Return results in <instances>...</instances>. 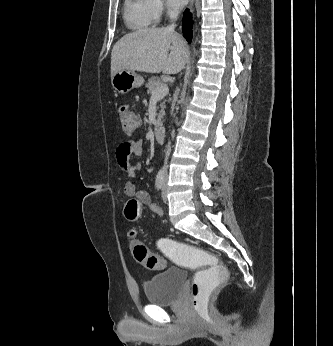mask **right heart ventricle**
<instances>
[{
  "instance_id": "1",
  "label": "right heart ventricle",
  "mask_w": 333,
  "mask_h": 346,
  "mask_svg": "<svg viewBox=\"0 0 333 346\" xmlns=\"http://www.w3.org/2000/svg\"><path fill=\"white\" fill-rule=\"evenodd\" d=\"M124 20L126 25L133 30H143L154 25L148 0H125Z\"/></svg>"
}]
</instances>
